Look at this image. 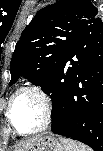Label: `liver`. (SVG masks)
Returning <instances> with one entry per match:
<instances>
[{"label": "liver", "mask_w": 103, "mask_h": 151, "mask_svg": "<svg viewBox=\"0 0 103 151\" xmlns=\"http://www.w3.org/2000/svg\"><path fill=\"white\" fill-rule=\"evenodd\" d=\"M34 140V138L27 140L21 144H19L17 147H15L14 151H26L30 143Z\"/></svg>", "instance_id": "liver-1"}]
</instances>
